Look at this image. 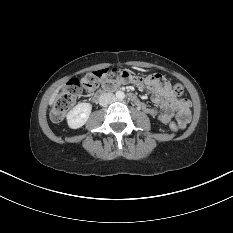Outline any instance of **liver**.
Listing matches in <instances>:
<instances>
[{"mask_svg":"<svg viewBox=\"0 0 233 233\" xmlns=\"http://www.w3.org/2000/svg\"><path fill=\"white\" fill-rule=\"evenodd\" d=\"M59 92V89H57L51 96L50 100H49V105H52L55 101H56V97H57V94Z\"/></svg>","mask_w":233,"mask_h":233,"instance_id":"obj_1","label":"liver"}]
</instances>
